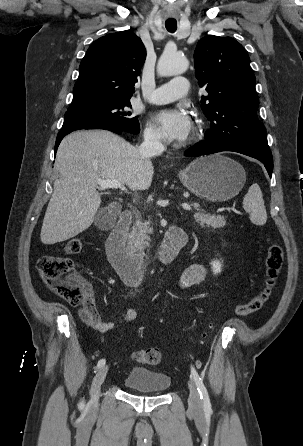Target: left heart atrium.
Returning <instances> with one entry per match:
<instances>
[{"label":"left heart atrium","instance_id":"obj_1","mask_svg":"<svg viewBox=\"0 0 303 446\" xmlns=\"http://www.w3.org/2000/svg\"><path fill=\"white\" fill-rule=\"evenodd\" d=\"M155 120L162 134L170 140H184L192 129L191 118L182 108L162 110L157 113Z\"/></svg>","mask_w":303,"mask_h":446}]
</instances>
